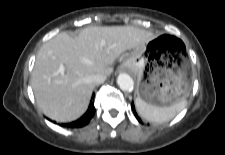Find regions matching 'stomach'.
<instances>
[{"label":"stomach","instance_id":"1","mask_svg":"<svg viewBox=\"0 0 225 155\" xmlns=\"http://www.w3.org/2000/svg\"><path fill=\"white\" fill-rule=\"evenodd\" d=\"M161 37H154L144 49H133L122 67L137 75V95L153 106H170L185 99L190 92L187 65L170 62L159 52Z\"/></svg>","mask_w":225,"mask_h":155}]
</instances>
